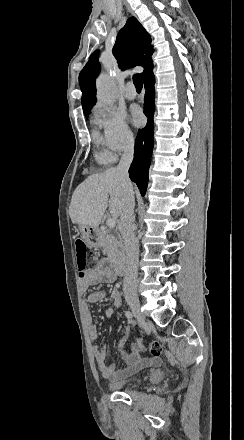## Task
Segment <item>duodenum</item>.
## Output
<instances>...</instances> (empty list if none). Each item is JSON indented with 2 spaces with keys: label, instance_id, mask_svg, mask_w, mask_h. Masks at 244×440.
<instances>
[{
  "label": "duodenum",
  "instance_id": "1",
  "mask_svg": "<svg viewBox=\"0 0 244 440\" xmlns=\"http://www.w3.org/2000/svg\"><path fill=\"white\" fill-rule=\"evenodd\" d=\"M126 266H127V258L125 256L117 258L114 264L115 270L119 275L125 273Z\"/></svg>",
  "mask_w": 244,
  "mask_h": 440
}]
</instances>
